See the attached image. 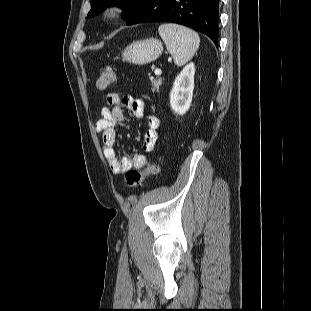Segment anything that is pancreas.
Instances as JSON below:
<instances>
[{
    "label": "pancreas",
    "instance_id": "pancreas-1",
    "mask_svg": "<svg viewBox=\"0 0 311 311\" xmlns=\"http://www.w3.org/2000/svg\"><path fill=\"white\" fill-rule=\"evenodd\" d=\"M152 82V91L159 92L160 86L162 85L163 81L162 79H154L151 81Z\"/></svg>",
    "mask_w": 311,
    "mask_h": 311
}]
</instances>
